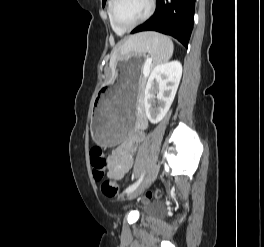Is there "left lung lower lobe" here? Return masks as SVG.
Segmentation results:
<instances>
[{
    "instance_id": "1",
    "label": "left lung lower lobe",
    "mask_w": 264,
    "mask_h": 247,
    "mask_svg": "<svg viewBox=\"0 0 264 247\" xmlns=\"http://www.w3.org/2000/svg\"><path fill=\"white\" fill-rule=\"evenodd\" d=\"M195 0H157L154 15L131 34L157 31L176 38L186 48L193 29Z\"/></svg>"
}]
</instances>
